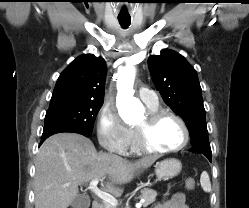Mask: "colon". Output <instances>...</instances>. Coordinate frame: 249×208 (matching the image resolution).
<instances>
[{"mask_svg": "<svg viewBox=\"0 0 249 208\" xmlns=\"http://www.w3.org/2000/svg\"><path fill=\"white\" fill-rule=\"evenodd\" d=\"M185 185L188 190H193L196 186V182L193 178H188L185 182Z\"/></svg>", "mask_w": 249, "mask_h": 208, "instance_id": "colon-1", "label": "colon"}]
</instances>
